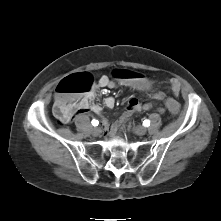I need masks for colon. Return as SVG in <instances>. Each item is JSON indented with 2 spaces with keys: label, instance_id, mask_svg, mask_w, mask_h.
Instances as JSON below:
<instances>
[{
  "label": "colon",
  "instance_id": "1",
  "mask_svg": "<svg viewBox=\"0 0 221 221\" xmlns=\"http://www.w3.org/2000/svg\"><path fill=\"white\" fill-rule=\"evenodd\" d=\"M109 80L127 85L135 91L144 94L150 92L151 96L160 90L158 82L140 71L135 72L124 67L113 66L107 72ZM94 83L93 76L90 73L84 72L69 76L63 79L56 88L54 114L61 123H68L74 116V103L81 94H85L91 90ZM163 104L164 108L170 110L172 117L181 115V105L178 100L170 99L167 96V101H164L163 96H158L157 99L150 103H144L132 110V114H128L121 118L117 128L118 134H124L128 123L134 120V116H138L144 111L152 108H157Z\"/></svg>",
  "mask_w": 221,
  "mask_h": 221
}]
</instances>
